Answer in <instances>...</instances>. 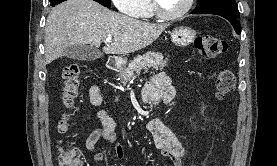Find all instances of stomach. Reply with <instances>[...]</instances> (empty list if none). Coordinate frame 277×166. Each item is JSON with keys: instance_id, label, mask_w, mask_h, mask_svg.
<instances>
[{"instance_id": "obj_1", "label": "stomach", "mask_w": 277, "mask_h": 166, "mask_svg": "<svg viewBox=\"0 0 277 166\" xmlns=\"http://www.w3.org/2000/svg\"><path fill=\"white\" fill-rule=\"evenodd\" d=\"M196 37V32L190 28L185 26L176 27L171 32V41L180 47H185L190 45Z\"/></svg>"}]
</instances>
